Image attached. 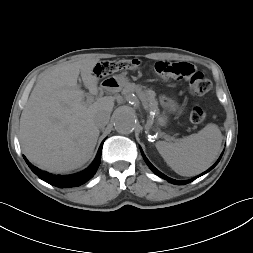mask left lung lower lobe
I'll use <instances>...</instances> for the list:
<instances>
[{"mask_svg": "<svg viewBox=\"0 0 253 253\" xmlns=\"http://www.w3.org/2000/svg\"><path fill=\"white\" fill-rule=\"evenodd\" d=\"M141 153H142V156H143L144 160L146 161L147 165L150 167V169H151L156 175H158L159 177H161V178H163V179H166L168 182H170V183H172V184L185 185V184H187V183H189V182H191L192 180L195 179V178H194V179H192V180L178 181V180H174V179H172V178H169V177H167L166 175H164L163 173H161L160 171H158V170L148 161V159L146 158V156L143 154L142 150H141ZM221 156H222V155H221ZM221 156H220V158L217 160V162H216L212 167H210L207 171H205V172L202 173L201 175H203V174L209 172L211 169H213V168L217 165V163L220 161ZM201 175H199L198 177H200ZM198 177H196V178H198Z\"/></svg>", "mask_w": 253, "mask_h": 253, "instance_id": "obj_1", "label": "left lung lower lobe"}]
</instances>
